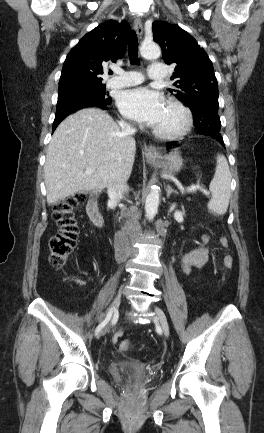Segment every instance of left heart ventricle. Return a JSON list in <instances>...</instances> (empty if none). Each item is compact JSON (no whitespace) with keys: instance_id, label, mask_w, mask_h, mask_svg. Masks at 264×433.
<instances>
[{"instance_id":"1","label":"left heart ventricle","mask_w":264,"mask_h":433,"mask_svg":"<svg viewBox=\"0 0 264 433\" xmlns=\"http://www.w3.org/2000/svg\"><path fill=\"white\" fill-rule=\"evenodd\" d=\"M181 123V114L177 110L166 106L163 117L158 122V124L155 125V128H159L162 130H174L179 127Z\"/></svg>"}]
</instances>
